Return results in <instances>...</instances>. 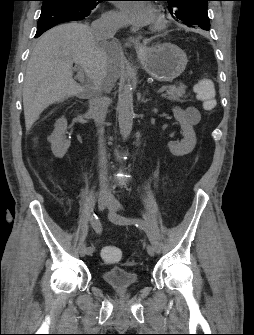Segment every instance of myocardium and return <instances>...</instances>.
<instances>
[{"instance_id": "myocardium-1", "label": "myocardium", "mask_w": 254, "mask_h": 335, "mask_svg": "<svg viewBox=\"0 0 254 335\" xmlns=\"http://www.w3.org/2000/svg\"><path fill=\"white\" fill-rule=\"evenodd\" d=\"M165 26V20L161 17H159L156 21L155 28L156 29H161Z\"/></svg>"}]
</instances>
